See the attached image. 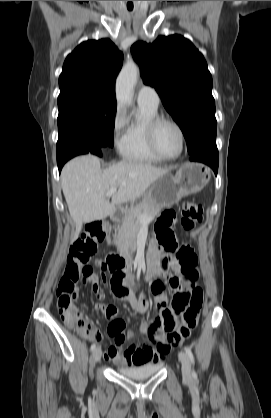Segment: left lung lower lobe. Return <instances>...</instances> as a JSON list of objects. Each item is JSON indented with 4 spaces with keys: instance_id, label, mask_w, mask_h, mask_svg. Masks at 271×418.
I'll return each mask as SVG.
<instances>
[{
    "instance_id": "1",
    "label": "left lung lower lobe",
    "mask_w": 271,
    "mask_h": 418,
    "mask_svg": "<svg viewBox=\"0 0 271 418\" xmlns=\"http://www.w3.org/2000/svg\"><path fill=\"white\" fill-rule=\"evenodd\" d=\"M191 161L203 162L209 165L214 173L217 174L218 171V150L217 146H212L206 149L199 151L196 154L191 155Z\"/></svg>"
}]
</instances>
